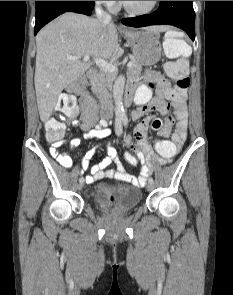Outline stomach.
Segmentation results:
<instances>
[{
    "label": "stomach",
    "instance_id": "0dacf381",
    "mask_svg": "<svg viewBox=\"0 0 233 295\" xmlns=\"http://www.w3.org/2000/svg\"><path fill=\"white\" fill-rule=\"evenodd\" d=\"M123 36L131 44L134 58L142 65L151 66L161 58V45L159 31L154 27L144 28L140 31L129 30Z\"/></svg>",
    "mask_w": 233,
    "mask_h": 295
}]
</instances>
